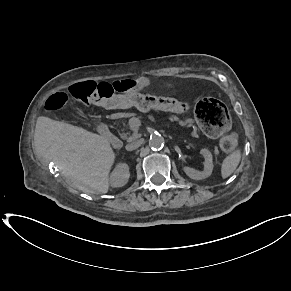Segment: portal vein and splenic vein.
<instances>
[{
  "mask_svg": "<svg viewBox=\"0 0 291 291\" xmlns=\"http://www.w3.org/2000/svg\"><path fill=\"white\" fill-rule=\"evenodd\" d=\"M141 125L139 119H135L131 125L132 130L137 131L139 126Z\"/></svg>",
  "mask_w": 291,
  "mask_h": 291,
  "instance_id": "18ae733b",
  "label": "portal vein and splenic vein"
}]
</instances>
